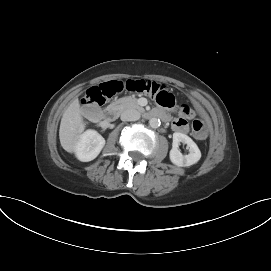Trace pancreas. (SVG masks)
Here are the masks:
<instances>
[{"mask_svg":"<svg viewBox=\"0 0 271 271\" xmlns=\"http://www.w3.org/2000/svg\"><path fill=\"white\" fill-rule=\"evenodd\" d=\"M110 107L118 112H123L127 109H136L140 112H144V108L138 104L137 99L130 96L118 99L117 101L113 102Z\"/></svg>","mask_w":271,"mask_h":271,"instance_id":"obj_1","label":"pancreas"}]
</instances>
